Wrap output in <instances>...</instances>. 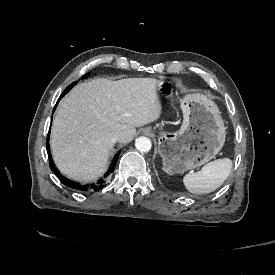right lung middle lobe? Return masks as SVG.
Listing matches in <instances>:
<instances>
[{"mask_svg": "<svg viewBox=\"0 0 275 275\" xmlns=\"http://www.w3.org/2000/svg\"><path fill=\"white\" fill-rule=\"evenodd\" d=\"M77 82H73L70 84L63 92V95H65L74 85H76Z\"/></svg>", "mask_w": 275, "mask_h": 275, "instance_id": "dd1d6c3e", "label": "right lung middle lobe"}]
</instances>
